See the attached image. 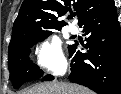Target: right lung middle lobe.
I'll list each match as a JSON object with an SVG mask.
<instances>
[{
  "label": "right lung middle lobe",
  "mask_w": 121,
  "mask_h": 94,
  "mask_svg": "<svg viewBox=\"0 0 121 94\" xmlns=\"http://www.w3.org/2000/svg\"><path fill=\"white\" fill-rule=\"evenodd\" d=\"M51 34V31H30L9 45L8 67L10 80L15 89L25 82L43 76V71L28 60V54L34 44L43 41ZM72 46L68 47L69 50Z\"/></svg>",
  "instance_id": "dd1d6c3e"
}]
</instances>
